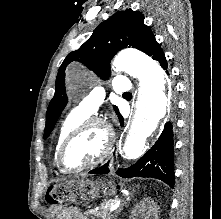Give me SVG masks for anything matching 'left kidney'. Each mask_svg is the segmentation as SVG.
<instances>
[{"label":"left kidney","mask_w":221,"mask_h":219,"mask_svg":"<svg viewBox=\"0 0 221 219\" xmlns=\"http://www.w3.org/2000/svg\"><path fill=\"white\" fill-rule=\"evenodd\" d=\"M159 219L157 204L151 198L141 200L132 211L131 219Z\"/></svg>","instance_id":"left-kidney-1"}]
</instances>
